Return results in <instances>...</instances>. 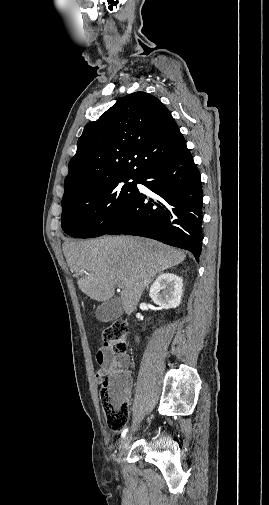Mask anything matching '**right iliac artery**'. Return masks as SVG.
I'll return each mask as SVG.
<instances>
[{"label":"right iliac artery","mask_w":269,"mask_h":505,"mask_svg":"<svg viewBox=\"0 0 269 505\" xmlns=\"http://www.w3.org/2000/svg\"><path fill=\"white\" fill-rule=\"evenodd\" d=\"M128 432V428L124 429L123 432L121 433V438H124Z\"/></svg>","instance_id":"right-iliac-artery-1"}]
</instances>
